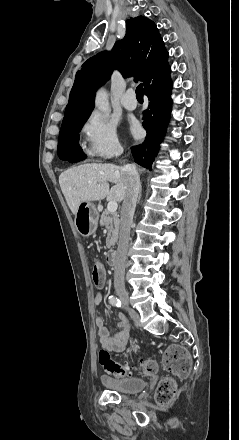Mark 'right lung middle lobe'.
<instances>
[{"label": "right lung middle lobe", "mask_w": 239, "mask_h": 440, "mask_svg": "<svg viewBox=\"0 0 239 440\" xmlns=\"http://www.w3.org/2000/svg\"><path fill=\"white\" fill-rule=\"evenodd\" d=\"M89 115L90 114L82 115L62 124L58 140V154L79 145L78 132L83 127Z\"/></svg>", "instance_id": "dd1d6c3e"}]
</instances>
